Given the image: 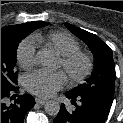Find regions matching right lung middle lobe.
Wrapping results in <instances>:
<instances>
[{
	"mask_svg": "<svg viewBox=\"0 0 123 123\" xmlns=\"http://www.w3.org/2000/svg\"><path fill=\"white\" fill-rule=\"evenodd\" d=\"M49 23L35 21L12 25L8 30L1 32V86L13 88L17 84L16 64L17 47L22 39L35 29Z\"/></svg>",
	"mask_w": 123,
	"mask_h": 123,
	"instance_id": "obj_1",
	"label": "right lung middle lobe"
}]
</instances>
